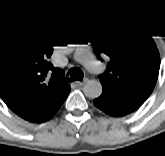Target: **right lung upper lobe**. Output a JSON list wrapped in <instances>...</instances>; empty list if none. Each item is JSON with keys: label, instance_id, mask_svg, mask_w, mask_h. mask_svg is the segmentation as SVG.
I'll list each match as a JSON object with an SVG mask.
<instances>
[{"label": "right lung upper lobe", "instance_id": "cb5924a9", "mask_svg": "<svg viewBox=\"0 0 165 156\" xmlns=\"http://www.w3.org/2000/svg\"><path fill=\"white\" fill-rule=\"evenodd\" d=\"M55 32L25 31L0 44V96L17 115L38 122L67 98L64 71L49 62Z\"/></svg>", "mask_w": 165, "mask_h": 156}]
</instances>
